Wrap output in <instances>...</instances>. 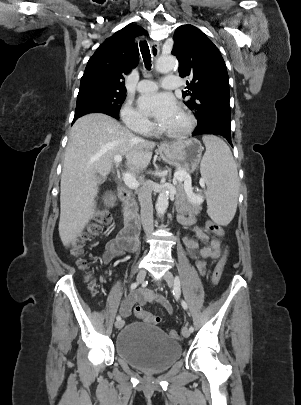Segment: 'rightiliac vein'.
<instances>
[{
	"mask_svg": "<svg viewBox=\"0 0 301 405\" xmlns=\"http://www.w3.org/2000/svg\"><path fill=\"white\" fill-rule=\"evenodd\" d=\"M145 277H146V270L141 269L137 274L136 280H137L138 283H141V282L144 281ZM123 325H124L123 320H119V321L115 322V327L118 328V329L122 328Z\"/></svg>",
	"mask_w": 301,
	"mask_h": 405,
	"instance_id": "obj_1",
	"label": "right iliac vein"
}]
</instances>
